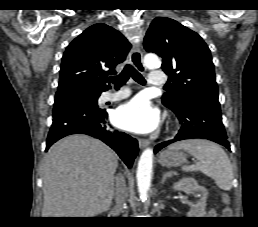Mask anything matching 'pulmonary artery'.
<instances>
[{
	"mask_svg": "<svg viewBox=\"0 0 258 227\" xmlns=\"http://www.w3.org/2000/svg\"><path fill=\"white\" fill-rule=\"evenodd\" d=\"M166 75L162 72L151 71L149 74V84L152 86H162L166 83ZM130 94L129 90L122 89L118 92H105L101 96L102 102L119 101Z\"/></svg>",
	"mask_w": 258,
	"mask_h": 227,
	"instance_id": "obj_1",
	"label": "pulmonary artery"
}]
</instances>
